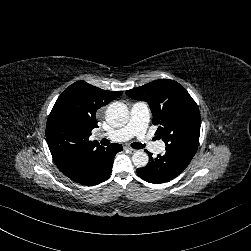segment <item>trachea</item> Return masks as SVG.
<instances>
[{
    "label": "trachea",
    "instance_id": "trachea-1",
    "mask_svg": "<svg viewBox=\"0 0 251 251\" xmlns=\"http://www.w3.org/2000/svg\"><path fill=\"white\" fill-rule=\"evenodd\" d=\"M100 143L102 144V145H109V141L107 140V139H105V138H103L101 141H100ZM146 143H144V144H142V143H133L132 144V147L134 148V149H143V148H145L146 147Z\"/></svg>",
    "mask_w": 251,
    "mask_h": 251
}]
</instances>
